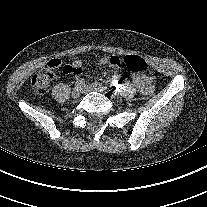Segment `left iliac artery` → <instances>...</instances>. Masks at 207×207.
Wrapping results in <instances>:
<instances>
[{
    "label": "left iliac artery",
    "instance_id": "obj_1",
    "mask_svg": "<svg viewBox=\"0 0 207 207\" xmlns=\"http://www.w3.org/2000/svg\"><path fill=\"white\" fill-rule=\"evenodd\" d=\"M94 86H96V87H99V88H103V89H107V87H104L101 83H99V82H95L94 83ZM117 88H118V86H116ZM108 90H110L111 91V93H113V94H117V89L116 90H114L113 88H111V87H108Z\"/></svg>",
    "mask_w": 207,
    "mask_h": 207
}]
</instances>
